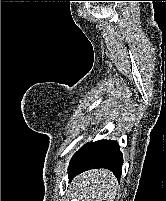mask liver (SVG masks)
Masks as SVG:
<instances>
[{
	"instance_id": "liver-1",
	"label": "liver",
	"mask_w": 166,
	"mask_h": 201,
	"mask_svg": "<svg viewBox=\"0 0 166 201\" xmlns=\"http://www.w3.org/2000/svg\"><path fill=\"white\" fill-rule=\"evenodd\" d=\"M74 201H113L117 180L107 169L86 171L73 180Z\"/></svg>"
}]
</instances>
